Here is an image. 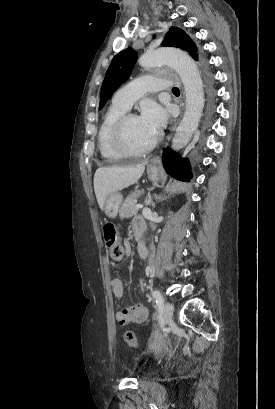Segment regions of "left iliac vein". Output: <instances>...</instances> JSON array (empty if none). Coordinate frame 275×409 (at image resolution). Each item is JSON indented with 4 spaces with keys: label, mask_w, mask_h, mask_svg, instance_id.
Wrapping results in <instances>:
<instances>
[{
    "label": "left iliac vein",
    "mask_w": 275,
    "mask_h": 409,
    "mask_svg": "<svg viewBox=\"0 0 275 409\" xmlns=\"http://www.w3.org/2000/svg\"><path fill=\"white\" fill-rule=\"evenodd\" d=\"M174 307L170 303L166 302L164 304L163 322L167 325L171 322L173 316Z\"/></svg>",
    "instance_id": "obj_1"
}]
</instances>
